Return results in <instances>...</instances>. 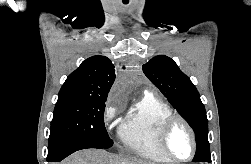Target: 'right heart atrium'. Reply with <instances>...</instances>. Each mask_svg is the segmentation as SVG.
<instances>
[{
  "label": "right heart atrium",
  "mask_w": 251,
  "mask_h": 164,
  "mask_svg": "<svg viewBox=\"0 0 251 164\" xmlns=\"http://www.w3.org/2000/svg\"><path fill=\"white\" fill-rule=\"evenodd\" d=\"M119 108L115 105V104H109L103 113V119L106 125H109L110 123H112L117 114H118Z\"/></svg>",
  "instance_id": "d8ad5b80"
}]
</instances>
